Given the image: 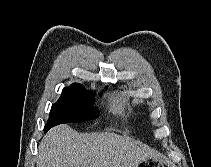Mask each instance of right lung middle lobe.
Masks as SVG:
<instances>
[{"label":"right lung middle lobe","mask_w":211,"mask_h":167,"mask_svg":"<svg viewBox=\"0 0 211 167\" xmlns=\"http://www.w3.org/2000/svg\"><path fill=\"white\" fill-rule=\"evenodd\" d=\"M93 91H86L82 85L72 86L63 90L59 100L52 105L49 119L44 127L46 132L51 127L64 123H78L97 116Z\"/></svg>","instance_id":"dd1d6c3e"}]
</instances>
